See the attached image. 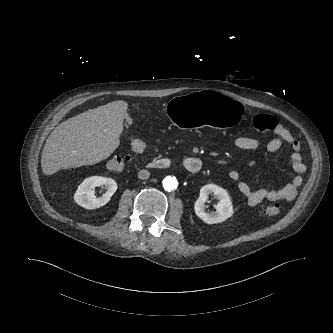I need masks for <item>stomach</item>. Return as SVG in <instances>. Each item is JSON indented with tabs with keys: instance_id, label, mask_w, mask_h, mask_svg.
Instances as JSON below:
<instances>
[{
	"instance_id": "1",
	"label": "stomach",
	"mask_w": 333,
	"mask_h": 333,
	"mask_svg": "<svg viewBox=\"0 0 333 333\" xmlns=\"http://www.w3.org/2000/svg\"><path fill=\"white\" fill-rule=\"evenodd\" d=\"M167 112L174 125L183 130L201 125L230 130L238 126L243 117V108L237 99L214 91L174 97L168 103Z\"/></svg>"
}]
</instances>
